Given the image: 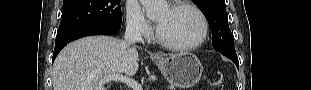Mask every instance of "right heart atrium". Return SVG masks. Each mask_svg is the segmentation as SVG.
Here are the masks:
<instances>
[{"instance_id": "obj_1", "label": "right heart atrium", "mask_w": 311, "mask_h": 90, "mask_svg": "<svg viewBox=\"0 0 311 90\" xmlns=\"http://www.w3.org/2000/svg\"><path fill=\"white\" fill-rule=\"evenodd\" d=\"M126 24L130 32L147 37L152 33L151 23L146 19L141 7L135 1L127 5Z\"/></svg>"}]
</instances>
